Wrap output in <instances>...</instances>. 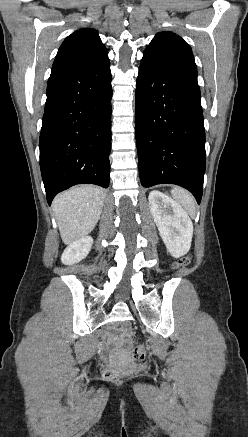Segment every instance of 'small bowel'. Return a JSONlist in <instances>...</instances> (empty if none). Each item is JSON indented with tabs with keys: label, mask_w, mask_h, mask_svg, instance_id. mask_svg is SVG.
I'll return each instance as SVG.
<instances>
[{
	"label": "small bowel",
	"mask_w": 248,
	"mask_h": 437,
	"mask_svg": "<svg viewBox=\"0 0 248 437\" xmlns=\"http://www.w3.org/2000/svg\"><path fill=\"white\" fill-rule=\"evenodd\" d=\"M115 340L120 341V340H125V338L123 335H119V336L115 337Z\"/></svg>",
	"instance_id": "1"
}]
</instances>
